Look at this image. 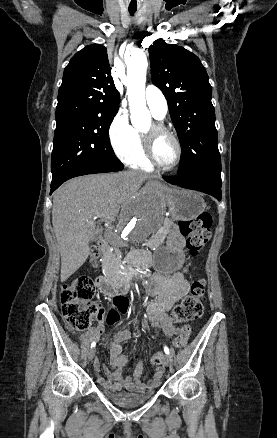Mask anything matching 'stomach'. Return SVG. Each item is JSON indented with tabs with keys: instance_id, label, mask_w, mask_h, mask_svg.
Listing matches in <instances>:
<instances>
[{
	"instance_id": "0dacf381",
	"label": "stomach",
	"mask_w": 277,
	"mask_h": 438,
	"mask_svg": "<svg viewBox=\"0 0 277 438\" xmlns=\"http://www.w3.org/2000/svg\"><path fill=\"white\" fill-rule=\"evenodd\" d=\"M160 192L175 221L193 220L206 208L204 199L192 190L162 187ZM184 247L185 238L178 230H170L166 246L154 253L155 269L163 273H173L179 270L185 261Z\"/></svg>"
}]
</instances>
